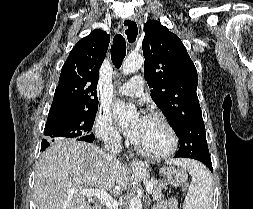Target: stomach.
Listing matches in <instances>:
<instances>
[{
    "label": "stomach",
    "instance_id": "obj_1",
    "mask_svg": "<svg viewBox=\"0 0 253 209\" xmlns=\"http://www.w3.org/2000/svg\"><path fill=\"white\" fill-rule=\"evenodd\" d=\"M158 174H159V176H164L165 177L167 173H166V171H159Z\"/></svg>",
    "mask_w": 253,
    "mask_h": 209
}]
</instances>
